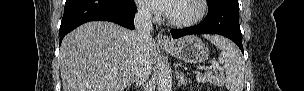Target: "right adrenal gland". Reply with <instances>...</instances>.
<instances>
[{
    "instance_id": "right-adrenal-gland-1",
    "label": "right adrenal gland",
    "mask_w": 304,
    "mask_h": 91,
    "mask_svg": "<svg viewBox=\"0 0 304 91\" xmlns=\"http://www.w3.org/2000/svg\"><path fill=\"white\" fill-rule=\"evenodd\" d=\"M132 84H135L136 86H140L141 85V81H138L137 79L132 80L127 87L130 88Z\"/></svg>"
}]
</instances>
